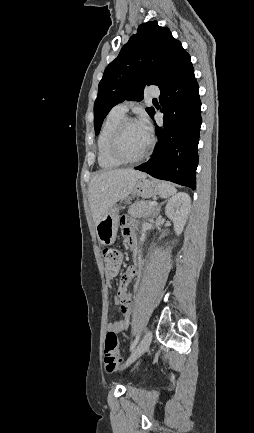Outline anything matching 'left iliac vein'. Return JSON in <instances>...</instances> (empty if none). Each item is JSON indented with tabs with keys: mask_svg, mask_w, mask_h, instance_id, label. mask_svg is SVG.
Segmentation results:
<instances>
[{
	"mask_svg": "<svg viewBox=\"0 0 254 433\" xmlns=\"http://www.w3.org/2000/svg\"><path fill=\"white\" fill-rule=\"evenodd\" d=\"M152 337H153L152 331L147 330L143 338L135 348V350L132 352L131 356L128 358L126 362V366L130 365L132 362H134L137 358H139L143 353L147 351V349L151 344Z\"/></svg>",
	"mask_w": 254,
	"mask_h": 433,
	"instance_id": "1",
	"label": "left iliac vein"
}]
</instances>
